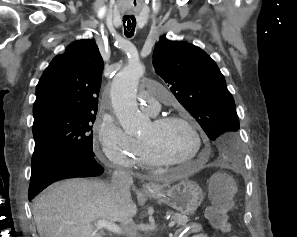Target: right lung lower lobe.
<instances>
[{
	"label": "right lung lower lobe",
	"instance_id": "right-lung-lower-lobe-1",
	"mask_svg": "<svg viewBox=\"0 0 297 237\" xmlns=\"http://www.w3.org/2000/svg\"><path fill=\"white\" fill-rule=\"evenodd\" d=\"M103 168L94 156L77 150H55L37 157L32 162L29 199H33L50 184L69 178L97 177Z\"/></svg>",
	"mask_w": 297,
	"mask_h": 237
}]
</instances>
